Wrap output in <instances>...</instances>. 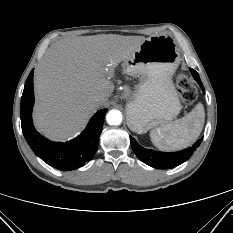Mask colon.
I'll list each match as a JSON object with an SVG mask.
<instances>
[{"label": "colon", "instance_id": "5ec220e1", "mask_svg": "<svg viewBox=\"0 0 233 233\" xmlns=\"http://www.w3.org/2000/svg\"><path fill=\"white\" fill-rule=\"evenodd\" d=\"M176 85L179 89L183 103L185 105L192 104L196 99V90L189 83L187 75L184 73H178L176 76Z\"/></svg>", "mask_w": 233, "mask_h": 233}]
</instances>
